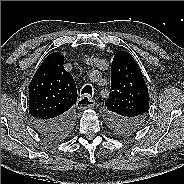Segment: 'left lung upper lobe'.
<instances>
[{
    "instance_id": "1",
    "label": "left lung upper lobe",
    "mask_w": 184,
    "mask_h": 184,
    "mask_svg": "<svg viewBox=\"0 0 184 184\" xmlns=\"http://www.w3.org/2000/svg\"><path fill=\"white\" fill-rule=\"evenodd\" d=\"M149 93L142 72L130 53L119 51L111 65V91L105 102L110 126L120 134L143 124L149 110Z\"/></svg>"
}]
</instances>
